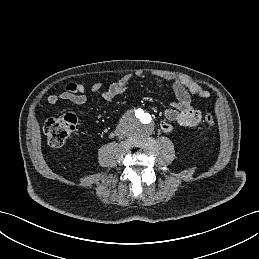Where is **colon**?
<instances>
[{
    "label": "colon",
    "instance_id": "5ec220e1",
    "mask_svg": "<svg viewBox=\"0 0 259 259\" xmlns=\"http://www.w3.org/2000/svg\"><path fill=\"white\" fill-rule=\"evenodd\" d=\"M204 124L207 128L215 126V118L213 114L207 113L204 117ZM77 119L72 114L62 117L51 118L44 125V134L47 142L52 147H60L75 131Z\"/></svg>",
    "mask_w": 259,
    "mask_h": 259
}]
</instances>
